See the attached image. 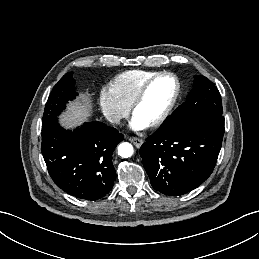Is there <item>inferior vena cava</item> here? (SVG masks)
<instances>
[{
    "label": "inferior vena cava",
    "instance_id": "inferior-vena-cava-1",
    "mask_svg": "<svg viewBox=\"0 0 259 259\" xmlns=\"http://www.w3.org/2000/svg\"><path fill=\"white\" fill-rule=\"evenodd\" d=\"M111 123L120 124L121 118L119 116H111L108 119Z\"/></svg>",
    "mask_w": 259,
    "mask_h": 259
}]
</instances>
